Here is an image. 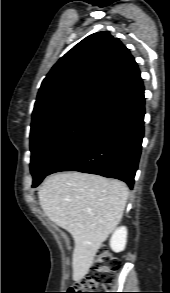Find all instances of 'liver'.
Segmentation results:
<instances>
[{
	"mask_svg": "<svg viewBox=\"0 0 170 293\" xmlns=\"http://www.w3.org/2000/svg\"><path fill=\"white\" fill-rule=\"evenodd\" d=\"M129 189L119 180L67 172L49 176L39 189L40 206L73 237V280L88 273L95 254L122 219Z\"/></svg>",
	"mask_w": 170,
	"mask_h": 293,
	"instance_id": "6515ba94",
	"label": "liver"
}]
</instances>
